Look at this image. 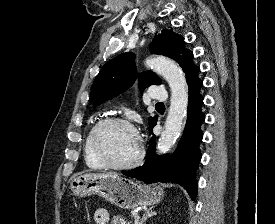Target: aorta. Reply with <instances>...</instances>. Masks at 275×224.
<instances>
[{"instance_id": "aorta-1", "label": "aorta", "mask_w": 275, "mask_h": 224, "mask_svg": "<svg viewBox=\"0 0 275 224\" xmlns=\"http://www.w3.org/2000/svg\"><path fill=\"white\" fill-rule=\"evenodd\" d=\"M145 64L161 75L171 90L169 112L157 145L158 153L163 154L171 149L182 133L187 115L188 86L182 69L171 59L157 56L147 59Z\"/></svg>"}]
</instances>
